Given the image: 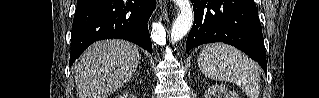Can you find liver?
I'll return each instance as SVG.
<instances>
[{"label":"liver","instance_id":"1","mask_svg":"<svg viewBox=\"0 0 319 98\" xmlns=\"http://www.w3.org/2000/svg\"><path fill=\"white\" fill-rule=\"evenodd\" d=\"M139 60L138 47L125 40L92 44L74 63L79 98H108L132 78Z\"/></svg>","mask_w":319,"mask_h":98}]
</instances>
